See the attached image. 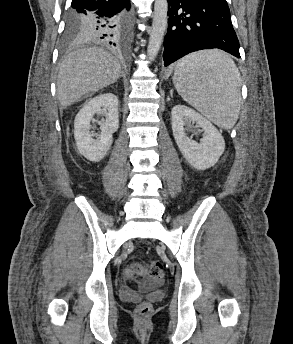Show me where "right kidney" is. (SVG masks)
<instances>
[{"label":"right kidney","instance_id":"ca27d5eb","mask_svg":"<svg viewBox=\"0 0 293 344\" xmlns=\"http://www.w3.org/2000/svg\"><path fill=\"white\" fill-rule=\"evenodd\" d=\"M95 114L106 118L99 122L101 134L97 139L91 130V122ZM118 97L112 93L98 95L86 102L74 121V138L79 152L88 160L99 162L102 160L113 142V133L118 130Z\"/></svg>","mask_w":293,"mask_h":344}]
</instances>
